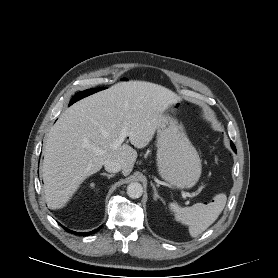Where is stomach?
Wrapping results in <instances>:
<instances>
[{
  "mask_svg": "<svg viewBox=\"0 0 278 278\" xmlns=\"http://www.w3.org/2000/svg\"><path fill=\"white\" fill-rule=\"evenodd\" d=\"M157 166L160 176L172 186L192 188L201 175V160L184 127L162 115L157 127Z\"/></svg>",
  "mask_w": 278,
  "mask_h": 278,
  "instance_id": "stomach-1",
  "label": "stomach"
}]
</instances>
